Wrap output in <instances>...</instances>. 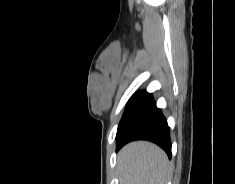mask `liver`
I'll list each match as a JSON object with an SVG mask.
<instances>
[{
    "instance_id": "6515ba94",
    "label": "liver",
    "mask_w": 235,
    "mask_h": 184,
    "mask_svg": "<svg viewBox=\"0 0 235 184\" xmlns=\"http://www.w3.org/2000/svg\"><path fill=\"white\" fill-rule=\"evenodd\" d=\"M120 184H168L170 162L163 150L151 142H131L117 158Z\"/></svg>"
}]
</instances>
